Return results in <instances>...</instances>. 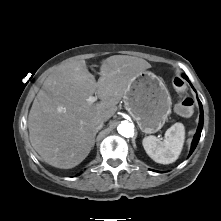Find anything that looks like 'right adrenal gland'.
Here are the masks:
<instances>
[{
  "instance_id": "1",
  "label": "right adrenal gland",
  "mask_w": 221,
  "mask_h": 221,
  "mask_svg": "<svg viewBox=\"0 0 221 221\" xmlns=\"http://www.w3.org/2000/svg\"><path fill=\"white\" fill-rule=\"evenodd\" d=\"M97 133H98V131H96V132L93 133V144H92L93 146H94V144H95V137H96V134H97Z\"/></svg>"
}]
</instances>
